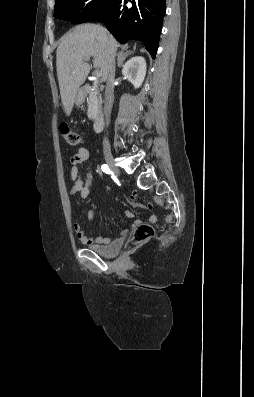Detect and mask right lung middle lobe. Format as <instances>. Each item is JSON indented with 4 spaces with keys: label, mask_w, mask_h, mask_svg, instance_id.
Returning a JSON list of instances; mask_svg holds the SVG:
<instances>
[{
    "label": "right lung middle lobe",
    "mask_w": 254,
    "mask_h": 397,
    "mask_svg": "<svg viewBox=\"0 0 254 397\" xmlns=\"http://www.w3.org/2000/svg\"><path fill=\"white\" fill-rule=\"evenodd\" d=\"M114 0H56L54 17L72 23L92 20L107 10Z\"/></svg>",
    "instance_id": "right-lung-middle-lobe-1"
}]
</instances>
